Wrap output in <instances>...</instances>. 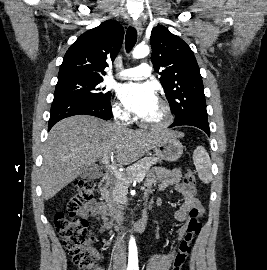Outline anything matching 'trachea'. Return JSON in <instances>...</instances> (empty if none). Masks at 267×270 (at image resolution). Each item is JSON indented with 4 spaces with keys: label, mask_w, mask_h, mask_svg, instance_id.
<instances>
[{
    "label": "trachea",
    "mask_w": 267,
    "mask_h": 270,
    "mask_svg": "<svg viewBox=\"0 0 267 270\" xmlns=\"http://www.w3.org/2000/svg\"><path fill=\"white\" fill-rule=\"evenodd\" d=\"M137 41V31L134 27H129L125 36V48L127 52H130Z\"/></svg>",
    "instance_id": "3493384b"
}]
</instances>
